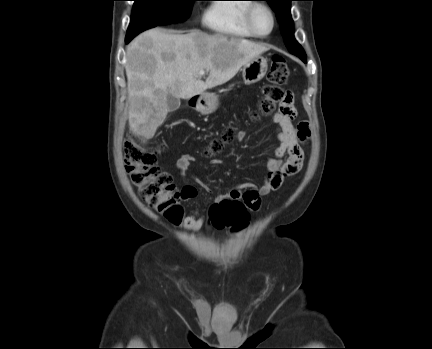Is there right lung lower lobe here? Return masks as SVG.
Returning <instances> with one entry per match:
<instances>
[{
    "mask_svg": "<svg viewBox=\"0 0 432 349\" xmlns=\"http://www.w3.org/2000/svg\"><path fill=\"white\" fill-rule=\"evenodd\" d=\"M131 39H129V38H126V43H128L129 41H130Z\"/></svg>",
    "mask_w": 432,
    "mask_h": 349,
    "instance_id": "98d812e1",
    "label": "right lung lower lobe"
}]
</instances>
